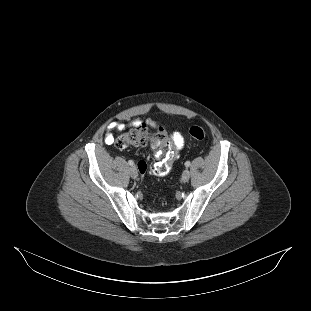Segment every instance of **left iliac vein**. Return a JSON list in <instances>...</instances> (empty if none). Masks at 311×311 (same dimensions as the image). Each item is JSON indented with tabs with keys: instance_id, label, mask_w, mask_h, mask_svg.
<instances>
[{
	"instance_id": "obj_1",
	"label": "left iliac vein",
	"mask_w": 311,
	"mask_h": 311,
	"mask_svg": "<svg viewBox=\"0 0 311 311\" xmlns=\"http://www.w3.org/2000/svg\"><path fill=\"white\" fill-rule=\"evenodd\" d=\"M189 178H190V171L186 169L183 171L181 179L183 182H187Z\"/></svg>"
}]
</instances>
